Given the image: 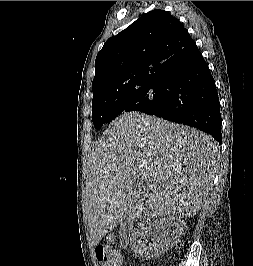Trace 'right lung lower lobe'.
<instances>
[{"mask_svg":"<svg viewBox=\"0 0 253 266\" xmlns=\"http://www.w3.org/2000/svg\"><path fill=\"white\" fill-rule=\"evenodd\" d=\"M163 82L162 104L148 115L200 129L221 145L219 97L201 52L169 74Z\"/></svg>","mask_w":253,"mask_h":266,"instance_id":"obj_1","label":"right lung lower lobe"}]
</instances>
